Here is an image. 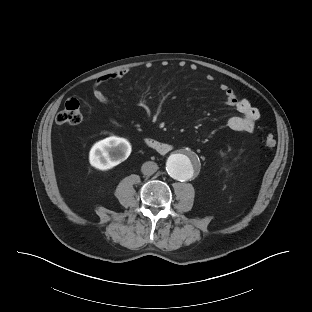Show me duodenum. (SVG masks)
Wrapping results in <instances>:
<instances>
[{"mask_svg":"<svg viewBox=\"0 0 312 312\" xmlns=\"http://www.w3.org/2000/svg\"><path fill=\"white\" fill-rule=\"evenodd\" d=\"M145 144L155 152L166 154L172 150V146L168 143L158 141L153 138H146Z\"/></svg>","mask_w":312,"mask_h":312,"instance_id":"1","label":"duodenum"}]
</instances>
